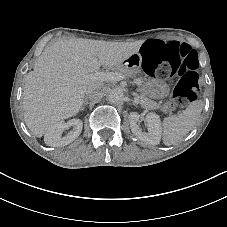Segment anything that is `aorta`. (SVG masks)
I'll use <instances>...</instances> for the list:
<instances>
[{"label": "aorta", "instance_id": "1", "mask_svg": "<svg viewBox=\"0 0 227 227\" xmlns=\"http://www.w3.org/2000/svg\"><path fill=\"white\" fill-rule=\"evenodd\" d=\"M124 93L121 88H113L107 94V99L110 103H119L123 100Z\"/></svg>", "mask_w": 227, "mask_h": 227}]
</instances>
